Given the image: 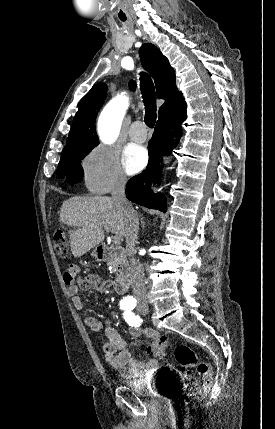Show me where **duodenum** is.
Listing matches in <instances>:
<instances>
[{
    "label": "duodenum",
    "mask_w": 275,
    "mask_h": 429,
    "mask_svg": "<svg viewBox=\"0 0 275 429\" xmlns=\"http://www.w3.org/2000/svg\"><path fill=\"white\" fill-rule=\"evenodd\" d=\"M96 253L99 260L112 261L115 263L117 273L113 282V288L118 294L124 293L127 290L130 282L124 250L101 244L97 247Z\"/></svg>",
    "instance_id": "obj_1"
}]
</instances>
